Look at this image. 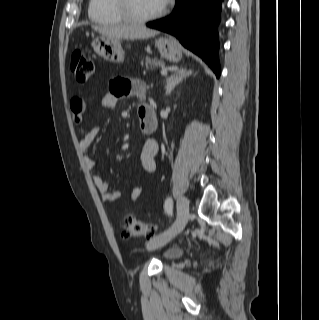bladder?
<instances>
[{
    "mask_svg": "<svg viewBox=\"0 0 319 320\" xmlns=\"http://www.w3.org/2000/svg\"><path fill=\"white\" fill-rule=\"evenodd\" d=\"M182 249L178 247H172L162 252V258L167 261L175 260L182 255Z\"/></svg>",
    "mask_w": 319,
    "mask_h": 320,
    "instance_id": "bladder-1",
    "label": "bladder"
}]
</instances>
